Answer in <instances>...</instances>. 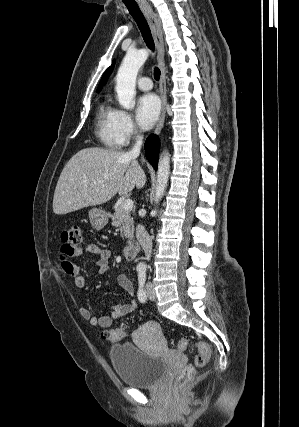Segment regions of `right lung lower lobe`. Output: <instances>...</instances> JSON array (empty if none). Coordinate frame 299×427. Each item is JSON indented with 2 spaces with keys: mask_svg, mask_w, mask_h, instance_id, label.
Returning a JSON list of instances; mask_svg holds the SVG:
<instances>
[{
  "mask_svg": "<svg viewBox=\"0 0 299 427\" xmlns=\"http://www.w3.org/2000/svg\"><path fill=\"white\" fill-rule=\"evenodd\" d=\"M145 153L148 161L157 169L158 154H159V140L155 135H150L145 142Z\"/></svg>",
  "mask_w": 299,
  "mask_h": 427,
  "instance_id": "obj_1",
  "label": "right lung lower lobe"
}]
</instances>
